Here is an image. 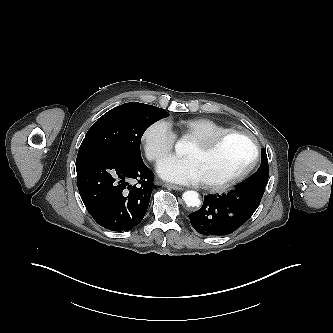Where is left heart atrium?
<instances>
[{"label": "left heart atrium", "instance_id": "obj_1", "mask_svg": "<svg viewBox=\"0 0 333 333\" xmlns=\"http://www.w3.org/2000/svg\"><path fill=\"white\" fill-rule=\"evenodd\" d=\"M158 173L166 180L181 184L202 182L200 171L190 157L169 156L158 164Z\"/></svg>", "mask_w": 333, "mask_h": 333}]
</instances>
